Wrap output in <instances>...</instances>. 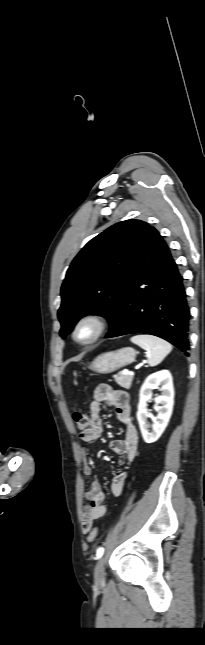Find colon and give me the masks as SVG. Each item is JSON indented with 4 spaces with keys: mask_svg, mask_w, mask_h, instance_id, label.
I'll list each match as a JSON object with an SVG mask.
<instances>
[{
    "mask_svg": "<svg viewBox=\"0 0 205 645\" xmlns=\"http://www.w3.org/2000/svg\"><path fill=\"white\" fill-rule=\"evenodd\" d=\"M73 419L77 425V428L81 431L84 432L87 430L90 426L91 422V413L90 411H77L73 415ZM98 535V529L97 527L91 528V530L88 532V543L92 544Z\"/></svg>",
    "mask_w": 205,
    "mask_h": 645,
    "instance_id": "obj_1",
    "label": "colon"
}]
</instances>
